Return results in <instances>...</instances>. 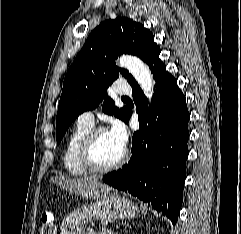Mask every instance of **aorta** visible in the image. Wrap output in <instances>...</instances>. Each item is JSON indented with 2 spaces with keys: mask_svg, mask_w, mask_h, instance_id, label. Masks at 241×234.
Masks as SVG:
<instances>
[{
  "mask_svg": "<svg viewBox=\"0 0 241 234\" xmlns=\"http://www.w3.org/2000/svg\"><path fill=\"white\" fill-rule=\"evenodd\" d=\"M118 65L128 69L142 90L148 96L152 95L154 81L149 67L141 59L130 55L121 56L118 60Z\"/></svg>",
  "mask_w": 241,
  "mask_h": 234,
  "instance_id": "1",
  "label": "aorta"
}]
</instances>
